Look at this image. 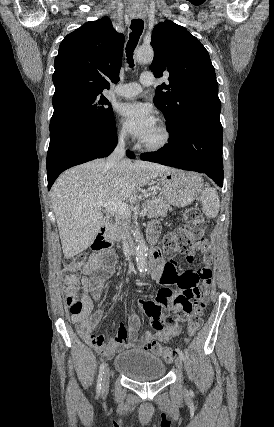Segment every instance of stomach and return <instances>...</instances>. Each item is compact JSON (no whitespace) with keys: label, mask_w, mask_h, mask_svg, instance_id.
I'll return each instance as SVG.
<instances>
[{"label":"stomach","mask_w":274,"mask_h":427,"mask_svg":"<svg viewBox=\"0 0 274 427\" xmlns=\"http://www.w3.org/2000/svg\"><path fill=\"white\" fill-rule=\"evenodd\" d=\"M197 174H187L180 170H172L160 174L156 184L161 186V196L171 206L184 208L193 202L197 192Z\"/></svg>","instance_id":"0dacf381"}]
</instances>
